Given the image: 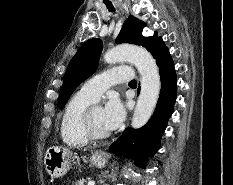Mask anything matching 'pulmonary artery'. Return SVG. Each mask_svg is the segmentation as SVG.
Here are the masks:
<instances>
[{
  "label": "pulmonary artery",
  "instance_id": "1",
  "mask_svg": "<svg viewBox=\"0 0 233 185\" xmlns=\"http://www.w3.org/2000/svg\"><path fill=\"white\" fill-rule=\"evenodd\" d=\"M133 77L132 69L129 67H113L86 81L80 93L93 101H97L102 93L116 83L131 80Z\"/></svg>",
  "mask_w": 233,
  "mask_h": 185
}]
</instances>
